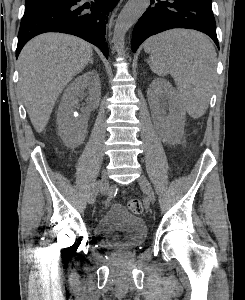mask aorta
Listing matches in <instances>:
<instances>
[{"label": "aorta", "instance_id": "762f6f07", "mask_svg": "<svg viewBox=\"0 0 245 300\" xmlns=\"http://www.w3.org/2000/svg\"><path fill=\"white\" fill-rule=\"evenodd\" d=\"M150 5V0H129L120 12L114 27L113 39L118 48L122 50L124 37L127 31L142 16Z\"/></svg>", "mask_w": 245, "mask_h": 300}]
</instances>
